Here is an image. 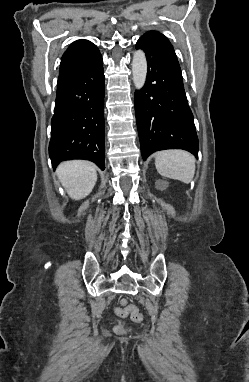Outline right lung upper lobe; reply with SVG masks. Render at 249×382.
<instances>
[{"mask_svg": "<svg viewBox=\"0 0 249 382\" xmlns=\"http://www.w3.org/2000/svg\"><path fill=\"white\" fill-rule=\"evenodd\" d=\"M99 53L98 48L88 40L73 42L62 56L57 86L65 83L94 62Z\"/></svg>", "mask_w": 249, "mask_h": 382, "instance_id": "obj_1", "label": "right lung upper lobe"}]
</instances>
